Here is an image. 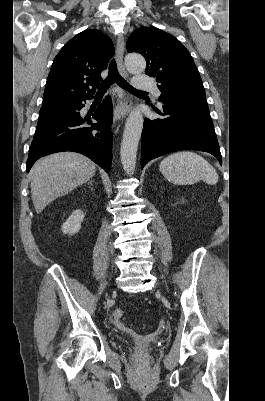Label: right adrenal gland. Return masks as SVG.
Segmentation results:
<instances>
[{
    "mask_svg": "<svg viewBox=\"0 0 265 401\" xmlns=\"http://www.w3.org/2000/svg\"><path fill=\"white\" fill-rule=\"evenodd\" d=\"M92 182H94V180H90L89 184H91V186H93Z\"/></svg>",
    "mask_w": 265,
    "mask_h": 401,
    "instance_id": "2a0ac1e0",
    "label": "right adrenal gland"
}]
</instances>
